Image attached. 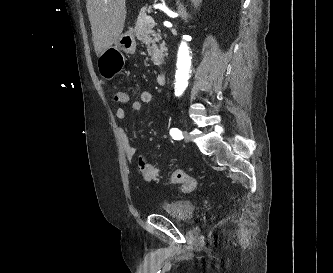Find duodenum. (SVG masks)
Listing matches in <instances>:
<instances>
[{"mask_svg":"<svg viewBox=\"0 0 333 273\" xmlns=\"http://www.w3.org/2000/svg\"><path fill=\"white\" fill-rule=\"evenodd\" d=\"M157 84L159 86H165L167 84V74L166 72H160L157 76Z\"/></svg>","mask_w":333,"mask_h":273,"instance_id":"1","label":"duodenum"}]
</instances>
